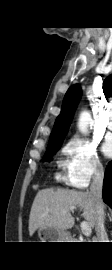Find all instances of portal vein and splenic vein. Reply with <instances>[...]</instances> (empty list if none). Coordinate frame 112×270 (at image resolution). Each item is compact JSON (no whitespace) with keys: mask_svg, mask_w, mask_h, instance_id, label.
<instances>
[{"mask_svg":"<svg viewBox=\"0 0 112 270\" xmlns=\"http://www.w3.org/2000/svg\"><path fill=\"white\" fill-rule=\"evenodd\" d=\"M80 227H81V230H82V232H83V234L85 236H90L91 235L92 229H91V227H90V225H89L88 222L83 221L81 223Z\"/></svg>","mask_w":112,"mask_h":270,"instance_id":"1","label":"portal vein and splenic vein"}]
</instances>
